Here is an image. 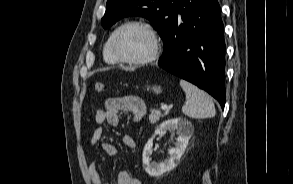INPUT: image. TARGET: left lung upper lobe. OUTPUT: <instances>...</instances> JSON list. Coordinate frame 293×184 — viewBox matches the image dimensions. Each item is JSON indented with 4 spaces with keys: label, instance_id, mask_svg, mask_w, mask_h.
<instances>
[{
    "label": "left lung upper lobe",
    "instance_id": "5c2ea615",
    "mask_svg": "<svg viewBox=\"0 0 293 184\" xmlns=\"http://www.w3.org/2000/svg\"><path fill=\"white\" fill-rule=\"evenodd\" d=\"M178 0H107L106 12L101 19L103 28L111 27L116 21L128 16L148 18L163 42Z\"/></svg>",
    "mask_w": 293,
    "mask_h": 184
}]
</instances>
